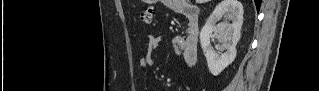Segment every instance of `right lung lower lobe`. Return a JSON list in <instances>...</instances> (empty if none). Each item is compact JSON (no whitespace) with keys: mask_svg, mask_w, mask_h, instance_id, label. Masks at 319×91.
<instances>
[{"mask_svg":"<svg viewBox=\"0 0 319 91\" xmlns=\"http://www.w3.org/2000/svg\"><path fill=\"white\" fill-rule=\"evenodd\" d=\"M255 2V5H256V8H257V11L259 10L260 8V5H261V0H254Z\"/></svg>","mask_w":319,"mask_h":91,"instance_id":"obj_1","label":"right lung lower lobe"}]
</instances>
